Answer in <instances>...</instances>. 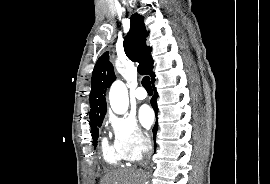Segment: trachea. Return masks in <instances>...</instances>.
<instances>
[{
  "instance_id": "1",
  "label": "trachea",
  "mask_w": 270,
  "mask_h": 184,
  "mask_svg": "<svg viewBox=\"0 0 270 184\" xmlns=\"http://www.w3.org/2000/svg\"><path fill=\"white\" fill-rule=\"evenodd\" d=\"M142 85L143 87L147 90V91H152V86H151V82H150V77L149 76H145L142 79Z\"/></svg>"
}]
</instances>
